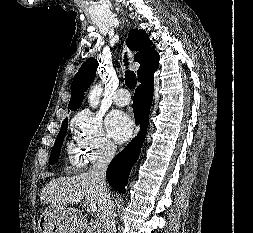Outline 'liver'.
I'll return each mask as SVG.
<instances>
[{
	"mask_svg": "<svg viewBox=\"0 0 253 233\" xmlns=\"http://www.w3.org/2000/svg\"><path fill=\"white\" fill-rule=\"evenodd\" d=\"M100 185L89 172L51 180L42 189L40 200L52 205L77 204L84 197L87 202L98 203Z\"/></svg>",
	"mask_w": 253,
	"mask_h": 233,
	"instance_id": "obj_1",
	"label": "liver"
}]
</instances>
